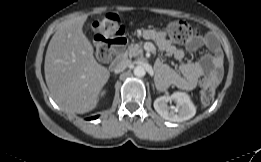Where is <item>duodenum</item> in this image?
Instances as JSON below:
<instances>
[{
	"label": "duodenum",
	"mask_w": 261,
	"mask_h": 162,
	"mask_svg": "<svg viewBox=\"0 0 261 162\" xmlns=\"http://www.w3.org/2000/svg\"><path fill=\"white\" fill-rule=\"evenodd\" d=\"M125 43L113 45L112 48H111L112 52H114L115 54H121L123 52Z\"/></svg>",
	"instance_id": "410a0bca"
}]
</instances>
